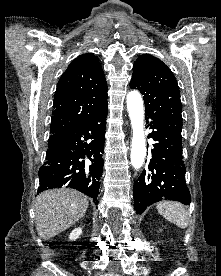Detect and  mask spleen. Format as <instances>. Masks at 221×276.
<instances>
[{
    "instance_id": "3e777b00",
    "label": "spleen",
    "mask_w": 221,
    "mask_h": 276,
    "mask_svg": "<svg viewBox=\"0 0 221 276\" xmlns=\"http://www.w3.org/2000/svg\"><path fill=\"white\" fill-rule=\"evenodd\" d=\"M160 215L179 228L185 229L188 226L187 212L184 206L175 201H162L157 204Z\"/></svg>"
}]
</instances>
